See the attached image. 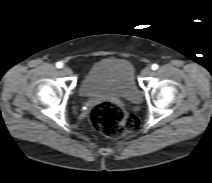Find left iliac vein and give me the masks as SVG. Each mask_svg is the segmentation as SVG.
I'll list each match as a JSON object with an SVG mask.
<instances>
[{"instance_id":"left-iliac-vein-1","label":"left iliac vein","mask_w":212,"mask_h":183,"mask_svg":"<svg viewBox=\"0 0 212 183\" xmlns=\"http://www.w3.org/2000/svg\"><path fill=\"white\" fill-rule=\"evenodd\" d=\"M151 73H152L151 68H150V67H146V68H144V69L142 70L141 75H142L143 77H147V76H149Z\"/></svg>"}]
</instances>
